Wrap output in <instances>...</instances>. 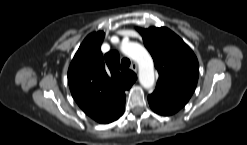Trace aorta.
Wrapping results in <instances>:
<instances>
[{
  "mask_svg": "<svg viewBox=\"0 0 247 145\" xmlns=\"http://www.w3.org/2000/svg\"><path fill=\"white\" fill-rule=\"evenodd\" d=\"M122 51L138 63L140 84L145 89L151 88L155 81L154 64L148 51L140 44L134 42L123 44Z\"/></svg>",
  "mask_w": 247,
  "mask_h": 145,
  "instance_id": "1",
  "label": "aorta"
}]
</instances>
